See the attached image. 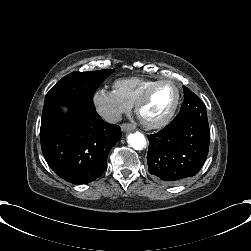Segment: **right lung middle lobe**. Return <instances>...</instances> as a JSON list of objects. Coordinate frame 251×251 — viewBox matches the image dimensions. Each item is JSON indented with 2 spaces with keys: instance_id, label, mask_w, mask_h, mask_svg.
Here are the masks:
<instances>
[{
  "instance_id": "right-lung-middle-lobe-1",
  "label": "right lung middle lobe",
  "mask_w": 251,
  "mask_h": 251,
  "mask_svg": "<svg viewBox=\"0 0 251 251\" xmlns=\"http://www.w3.org/2000/svg\"><path fill=\"white\" fill-rule=\"evenodd\" d=\"M114 70L72 72L57 82L45 97L42 116L67 103L95 108L93 94Z\"/></svg>"
}]
</instances>
